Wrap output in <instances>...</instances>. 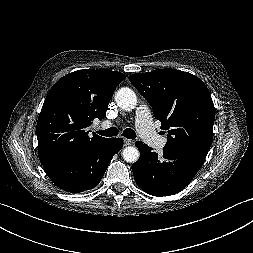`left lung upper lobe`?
<instances>
[{
    "label": "left lung upper lobe",
    "mask_w": 253,
    "mask_h": 253,
    "mask_svg": "<svg viewBox=\"0 0 253 253\" xmlns=\"http://www.w3.org/2000/svg\"><path fill=\"white\" fill-rule=\"evenodd\" d=\"M129 80L152 106L161 129L168 131L163 149L175 153L208 152L213 140L215 109L202 80L176 69L136 73Z\"/></svg>",
    "instance_id": "left-lung-upper-lobe-1"
}]
</instances>
